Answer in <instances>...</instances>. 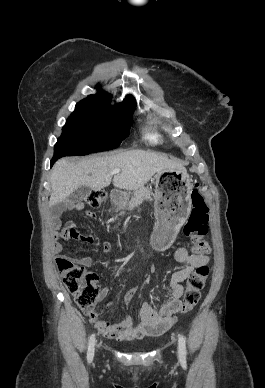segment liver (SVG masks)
Segmentation results:
<instances>
[{
    "mask_svg": "<svg viewBox=\"0 0 265 388\" xmlns=\"http://www.w3.org/2000/svg\"><path fill=\"white\" fill-rule=\"evenodd\" d=\"M116 168H120L121 174L114 176L113 186L120 190L143 188L157 172L185 170L182 164L145 150H130L116 156H91L81 162H70L68 158H62L52 170L49 206L64 202L80 186H88L91 190L110 186V172Z\"/></svg>",
    "mask_w": 265,
    "mask_h": 388,
    "instance_id": "1",
    "label": "liver"
}]
</instances>
